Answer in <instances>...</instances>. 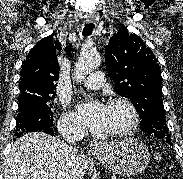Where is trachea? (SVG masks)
<instances>
[{
	"label": "trachea",
	"mask_w": 183,
	"mask_h": 179,
	"mask_svg": "<svg viewBox=\"0 0 183 179\" xmlns=\"http://www.w3.org/2000/svg\"><path fill=\"white\" fill-rule=\"evenodd\" d=\"M94 27L95 26L93 23L85 24V27L83 28L82 35L84 37L91 35Z\"/></svg>",
	"instance_id": "3493384b"
}]
</instances>
